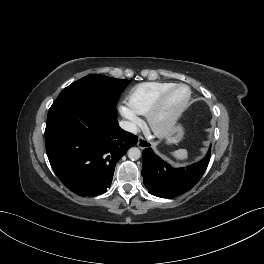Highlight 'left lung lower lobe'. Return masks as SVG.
<instances>
[{
  "label": "left lung lower lobe",
  "mask_w": 264,
  "mask_h": 264,
  "mask_svg": "<svg viewBox=\"0 0 264 264\" xmlns=\"http://www.w3.org/2000/svg\"><path fill=\"white\" fill-rule=\"evenodd\" d=\"M210 160V149L206 157L191 166L172 168L158 157L151 148L143 150L141 174L149 193L161 198L183 194L196 185L204 174Z\"/></svg>",
  "instance_id": "0a47b994"
}]
</instances>
